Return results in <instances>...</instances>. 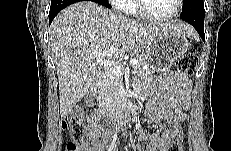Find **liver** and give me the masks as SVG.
I'll use <instances>...</instances> for the list:
<instances>
[{
  "label": "liver",
  "mask_w": 231,
  "mask_h": 151,
  "mask_svg": "<svg viewBox=\"0 0 231 151\" xmlns=\"http://www.w3.org/2000/svg\"><path fill=\"white\" fill-rule=\"evenodd\" d=\"M168 28L194 36L193 28L180 20L165 24L140 23L92 1L76 2L63 9L49 28L51 55L59 82L60 115L66 116L97 82L94 52L114 49L108 59L126 53H144Z\"/></svg>",
  "instance_id": "obj_1"
}]
</instances>
